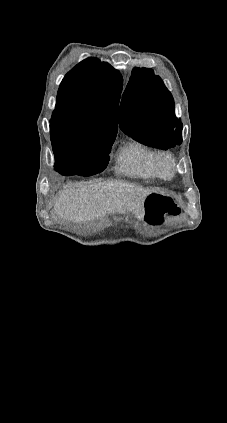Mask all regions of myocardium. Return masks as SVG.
<instances>
[{
    "label": "myocardium",
    "mask_w": 227,
    "mask_h": 423,
    "mask_svg": "<svg viewBox=\"0 0 227 423\" xmlns=\"http://www.w3.org/2000/svg\"><path fill=\"white\" fill-rule=\"evenodd\" d=\"M155 166L163 178H172L176 169V159L168 151H158L155 156Z\"/></svg>",
    "instance_id": "1"
}]
</instances>
